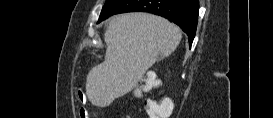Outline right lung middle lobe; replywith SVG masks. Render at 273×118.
Segmentation results:
<instances>
[{"instance_id": "obj_1", "label": "right lung middle lobe", "mask_w": 273, "mask_h": 118, "mask_svg": "<svg viewBox=\"0 0 273 118\" xmlns=\"http://www.w3.org/2000/svg\"><path fill=\"white\" fill-rule=\"evenodd\" d=\"M122 0H106L105 5L103 6V9L101 11L98 23L110 16L113 8L119 4Z\"/></svg>"}]
</instances>
